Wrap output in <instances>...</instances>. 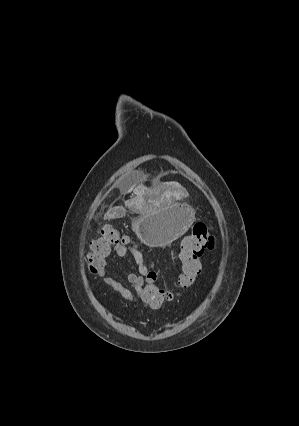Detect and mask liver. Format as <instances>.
<instances>
[{
    "instance_id": "6515ba94",
    "label": "liver",
    "mask_w": 299,
    "mask_h": 426,
    "mask_svg": "<svg viewBox=\"0 0 299 426\" xmlns=\"http://www.w3.org/2000/svg\"><path fill=\"white\" fill-rule=\"evenodd\" d=\"M134 187L135 185L129 187L128 189H121V192L124 194L134 190L135 194L137 195L135 199L125 202V205L127 207L136 205L138 209L144 210L146 207H151L152 205H155V200H153L152 196L153 195L157 196L160 192V189H153L147 192L146 188L142 185L137 186L135 188ZM164 195L167 197V195H169V192H165ZM144 196H147V200H145ZM125 212L126 211L122 206H117L108 210V212L105 214V218L106 219L117 218L124 215Z\"/></svg>"
}]
</instances>
